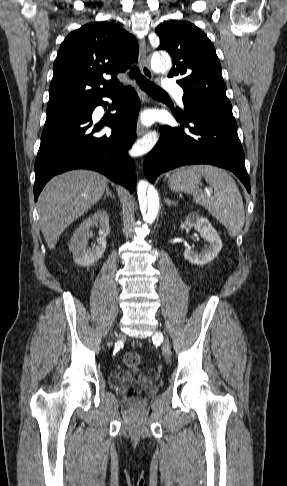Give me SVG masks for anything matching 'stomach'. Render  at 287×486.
I'll return each instance as SVG.
<instances>
[{"instance_id": "1", "label": "stomach", "mask_w": 287, "mask_h": 486, "mask_svg": "<svg viewBox=\"0 0 287 486\" xmlns=\"http://www.w3.org/2000/svg\"><path fill=\"white\" fill-rule=\"evenodd\" d=\"M201 176L202 174L195 167H183L170 176L168 184L173 191L193 193L201 184Z\"/></svg>"}]
</instances>
